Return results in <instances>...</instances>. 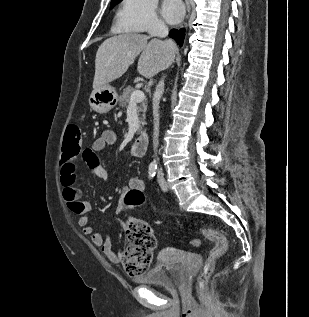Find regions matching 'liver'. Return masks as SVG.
<instances>
[{"label": "liver", "mask_w": 309, "mask_h": 317, "mask_svg": "<svg viewBox=\"0 0 309 317\" xmlns=\"http://www.w3.org/2000/svg\"><path fill=\"white\" fill-rule=\"evenodd\" d=\"M137 33H125L106 39L98 48L95 59L93 89L120 78L140 55L137 71L151 78L167 69L175 59L177 47L171 40L161 41Z\"/></svg>", "instance_id": "1"}]
</instances>
